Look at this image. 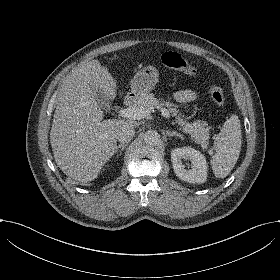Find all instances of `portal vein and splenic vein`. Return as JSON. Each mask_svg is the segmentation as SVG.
<instances>
[{
    "label": "portal vein and splenic vein",
    "mask_w": 280,
    "mask_h": 280,
    "mask_svg": "<svg viewBox=\"0 0 280 280\" xmlns=\"http://www.w3.org/2000/svg\"><path fill=\"white\" fill-rule=\"evenodd\" d=\"M119 116L133 119V120H141L143 118H146L150 115L149 110H145L144 108H138V107H128L125 109H121L118 112ZM161 114L163 117L169 118L170 112L166 108H161ZM209 154H213L212 151H209Z\"/></svg>",
    "instance_id": "18ae733b"
}]
</instances>
